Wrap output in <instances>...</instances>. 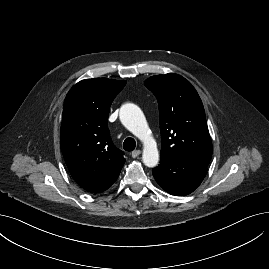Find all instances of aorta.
<instances>
[{
  "instance_id": "obj_1",
  "label": "aorta",
  "mask_w": 269,
  "mask_h": 269,
  "mask_svg": "<svg viewBox=\"0 0 269 269\" xmlns=\"http://www.w3.org/2000/svg\"><path fill=\"white\" fill-rule=\"evenodd\" d=\"M119 116L122 124L143 142V163L147 167H156L159 162L157 144L150 135L146 118L141 109L134 104H125L121 107Z\"/></svg>"
}]
</instances>
